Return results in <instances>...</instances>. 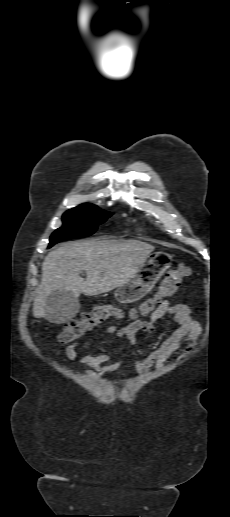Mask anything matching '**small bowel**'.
Wrapping results in <instances>:
<instances>
[{
    "label": "small bowel",
    "instance_id": "obj_1",
    "mask_svg": "<svg viewBox=\"0 0 230 517\" xmlns=\"http://www.w3.org/2000/svg\"><path fill=\"white\" fill-rule=\"evenodd\" d=\"M171 316L179 324L173 334L162 342L159 348L150 352L146 356L139 358L136 363L137 372L143 374L147 369L154 365L161 367L164 362L182 345L185 344L179 355L178 360L186 358L193 347L196 345L200 332L199 323L192 318L190 307L184 303L171 304L168 301L162 302L151 314L149 320H134L124 327L110 325L107 334L118 339H125L129 344L136 343V334L145 331L153 334L157 324L165 317ZM56 353L70 361L80 362L90 368V375L98 377L104 375L120 365V361L114 362L109 355L100 354L96 356L78 355V344L73 343L64 350H57Z\"/></svg>",
    "mask_w": 230,
    "mask_h": 517
}]
</instances>
